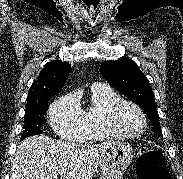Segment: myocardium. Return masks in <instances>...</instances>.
Returning <instances> with one entry per match:
<instances>
[{
  "label": "myocardium",
  "instance_id": "1",
  "mask_svg": "<svg viewBox=\"0 0 183 179\" xmlns=\"http://www.w3.org/2000/svg\"><path fill=\"white\" fill-rule=\"evenodd\" d=\"M126 106H130V107L136 109L143 120L142 128L138 132L133 133V134H127V133L122 132L117 125L118 116H119L121 110ZM103 122H104V126L108 132H110L112 135H114L117 138H124V139H131V138L139 137L146 131L147 126H148V119H147V116H146L144 110L137 103L130 101V100H125V99H121V100L115 102L113 105H111L107 109V111L104 115V118H103Z\"/></svg>",
  "mask_w": 183,
  "mask_h": 179
}]
</instances>
